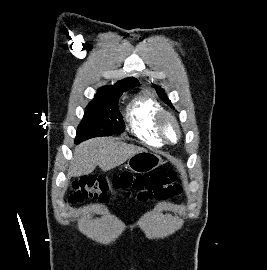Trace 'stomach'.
<instances>
[{
  "mask_svg": "<svg viewBox=\"0 0 267 270\" xmlns=\"http://www.w3.org/2000/svg\"><path fill=\"white\" fill-rule=\"evenodd\" d=\"M161 164L162 159L159 155L145 150L130 157L126 166L134 173H146Z\"/></svg>",
  "mask_w": 267,
  "mask_h": 270,
  "instance_id": "stomach-1",
  "label": "stomach"
}]
</instances>
